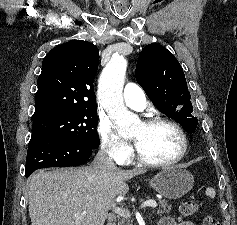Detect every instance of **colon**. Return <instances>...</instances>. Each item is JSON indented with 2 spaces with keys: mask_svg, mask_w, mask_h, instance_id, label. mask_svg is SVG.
Returning <instances> with one entry per match:
<instances>
[{
  "mask_svg": "<svg viewBox=\"0 0 237 225\" xmlns=\"http://www.w3.org/2000/svg\"><path fill=\"white\" fill-rule=\"evenodd\" d=\"M198 210V205L192 200H186L180 205V213L184 217L192 216ZM203 225H219L215 218L208 216L205 218Z\"/></svg>",
  "mask_w": 237,
  "mask_h": 225,
  "instance_id": "5ec220e1",
  "label": "colon"
}]
</instances>
